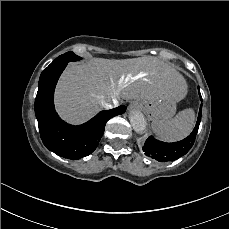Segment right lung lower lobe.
Instances as JSON below:
<instances>
[{"label":"right lung lower lobe","mask_w":229,"mask_h":229,"mask_svg":"<svg viewBox=\"0 0 229 229\" xmlns=\"http://www.w3.org/2000/svg\"><path fill=\"white\" fill-rule=\"evenodd\" d=\"M67 63L46 68L40 76L35 99V115L43 144L57 155L78 160L89 155L100 141L105 123L125 112L126 106L101 111L85 124L73 126L62 121L54 109L56 83Z\"/></svg>","instance_id":"obj_1"}]
</instances>
